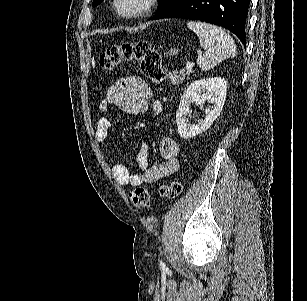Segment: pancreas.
I'll list each match as a JSON object with an SVG mask.
<instances>
[{
	"label": "pancreas",
	"instance_id": "obj_1",
	"mask_svg": "<svg viewBox=\"0 0 307 301\" xmlns=\"http://www.w3.org/2000/svg\"><path fill=\"white\" fill-rule=\"evenodd\" d=\"M190 74L191 72L184 70V68H181V70H172V72H169V80H171L173 84H181Z\"/></svg>",
	"mask_w": 307,
	"mask_h": 301
}]
</instances>
